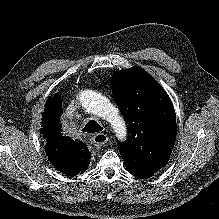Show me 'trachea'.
Instances as JSON below:
<instances>
[{
    "label": "trachea",
    "mask_w": 219,
    "mask_h": 219,
    "mask_svg": "<svg viewBox=\"0 0 219 219\" xmlns=\"http://www.w3.org/2000/svg\"><path fill=\"white\" fill-rule=\"evenodd\" d=\"M102 130L103 128L101 127V125L95 120H90L82 129L83 132H87V133H96Z\"/></svg>",
    "instance_id": "1"
}]
</instances>
